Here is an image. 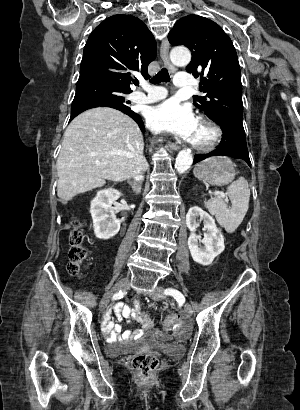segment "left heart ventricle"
Here are the masks:
<instances>
[{
	"instance_id": "1",
	"label": "left heart ventricle",
	"mask_w": 300,
	"mask_h": 410,
	"mask_svg": "<svg viewBox=\"0 0 300 410\" xmlns=\"http://www.w3.org/2000/svg\"><path fill=\"white\" fill-rule=\"evenodd\" d=\"M211 136L212 133L210 129L198 123L197 130L195 132L192 142L205 143L210 140Z\"/></svg>"
}]
</instances>
